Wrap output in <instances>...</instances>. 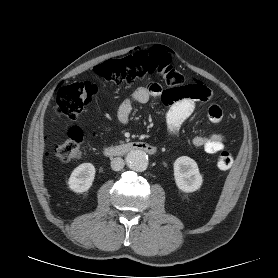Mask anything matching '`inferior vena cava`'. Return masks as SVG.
I'll return each mask as SVG.
<instances>
[{"instance_id": "inferior-vena-cava-1", "label": "inferior vena cava", "mask_w": 278, "mask_h": 278, "mask_svg": "<svg viewBox=\"0 0 278 278\" xmlns=\"http://www.w3.org/2000/svg\"><path fill=\"white\" fill-rule=\"evenodd\" d=\"M124 165H125L124 160L120 157H116L111 161V168L114 171H120L121 169H123Z\"/></svg>"}]
</instances>
